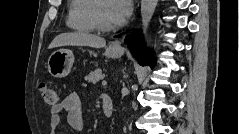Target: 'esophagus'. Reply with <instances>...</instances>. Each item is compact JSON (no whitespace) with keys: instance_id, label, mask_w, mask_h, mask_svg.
Instances as JSON below:
<instances>
[{"instance_id":"obj_1","label":"esophagus","mask_w":239,"mask_h":134,"mask_svg":"<svg viewBox=\"0 0 239 134\" xmlns=\"http://www.w3.org/2000/svg\"><path fill=\"white\" fill-rule=\"evenodd\" d=\"M112 47L115 48H122V41L121 40H116L111 44Z\"/></svg>"}]
</instances>
